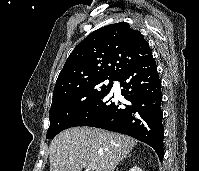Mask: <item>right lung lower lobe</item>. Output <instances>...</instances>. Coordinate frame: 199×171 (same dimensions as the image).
<instances>
[{"mask_svg":"<svg viewBox=\"0 0 199 171\" xmlns=\"http://www.w3.org/2000/svg\"><path fill=\"white\" fill-rule=\"evenodd\" d=\"M123 101L114 100L111 89L80 112L65 127L92 126L129 135L150 145L160 161L164 156L161 111V81L153 56L140 61L122 73Z\"/></svg>","mask_w":199,"mask_h":171,"instance_id":"right-lung-lower-lobe-1","label":"right lung lower lobe"}]
</instances>
